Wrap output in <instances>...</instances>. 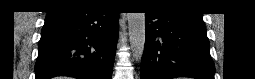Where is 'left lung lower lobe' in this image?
<instances>
[{"label":"left lung lower lobe","instance_id":"left-lung-lower-lobe-1","mask_svg":"<svg viewBox=\"0 0 255 79\" xmlns=\"http://www.w3.org/2000/svg\"><path fill=\"white\" fill-rule=\"evenodd\" d=\"M145 13L146 42L141 79H214V63L202 14L160 6Z\"/></svg>","mask_w":255,"mask_h":79}]
</instances>
